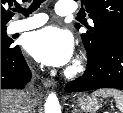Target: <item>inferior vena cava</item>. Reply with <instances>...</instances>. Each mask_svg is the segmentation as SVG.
I'll return each instance as SVG.
<instances>
[{
	"label": "inferior vena cava",
	"mask_w": 123,
	"mask_h": 113,
	"mask_svg": "<svg viewBox=\"0 0 123 113\" xmlns=\"http://www.w3.org/2000/svg\"><path fill=\"white\" fill-rule=\"evenodd\" d=\"M33 107H34L33 101H31L30 98H27V102L26 105L24 106L22 113H34V111H32Z\"/></svg>",
	"instance_id": "1"
}]
</instances>
